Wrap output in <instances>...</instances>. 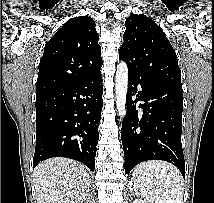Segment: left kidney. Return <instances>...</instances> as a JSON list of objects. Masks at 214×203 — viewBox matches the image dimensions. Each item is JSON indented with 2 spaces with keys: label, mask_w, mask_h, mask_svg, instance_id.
<instances>
[{
  "label": "left kidney",
  "mask_w": 214,
  "mask_h": 203,
  "mask_svg": "<svg viewBox=\"0 0 214 203\" xmlns=\"http://www.w3.org/2000/svg\"><path fill=\"white\" fill-rule=\"evenodd\" d=\"M133 203H146V202L140 199H136L133 201Z\"/></svg>",
  "instance_id": "left-kidney-1"
}]
</instances>
